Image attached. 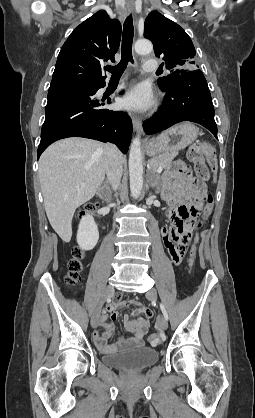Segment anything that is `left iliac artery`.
<instances>
[{"mask_svg":"<svg viewBox=\"0 0 255 418\" xmlns=\"http://www.w3.org/2000/svg\"><path fill=\"white\" fill-rule=\"evenodd\" d=\"M160 306H161V310H162V313H163V315H164L165 319H166V320H168V313H167V311H166V309H165L164 305H163V304H161Z\"/></svg>","mask_w":255,"mask_h":418,"instance_id":"44dca946","label":"left iliac artery"}]
</instances>
